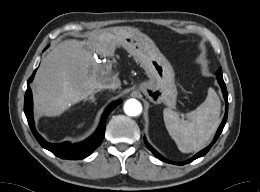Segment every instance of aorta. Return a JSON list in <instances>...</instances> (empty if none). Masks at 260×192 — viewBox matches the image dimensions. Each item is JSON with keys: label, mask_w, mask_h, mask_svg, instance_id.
Wrapping results in <instances>:
<instances>
[{"label": "aorta", "mask_w": 260, "mask_h": 192, "mask_svg": "<svg viewBox=\"0 0 260 192\" xmlns=\"http://www.w3.org/2000/svg\"><path fill=\"white\" fill-rule=\"evenodd\" d=\"M124 112L128 116H138L142 112V105L136 99H129L124 104Z\"/></svg>", "instance_id": "obj_1"}]
</instances>
